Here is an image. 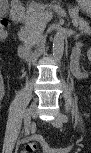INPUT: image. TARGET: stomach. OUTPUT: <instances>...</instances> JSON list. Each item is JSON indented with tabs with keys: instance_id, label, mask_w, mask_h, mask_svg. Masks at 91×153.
<instances>
[{
	"instance_id": "1",
	"label": "stomach",
	"mask_w": 91,
	"mask_h": 153,
	"mask_svg": "<svg viewBox=\"0 0 91 153\" xmlns=\"http://www.w3.org/2000/svg\"><path fill=\"white\" fill-rule=\"evenodd\" d=\"M79 3L83 5V9L87 12L90 11V1L88 0H80Z\"/></svg>"
}]
</instances>
